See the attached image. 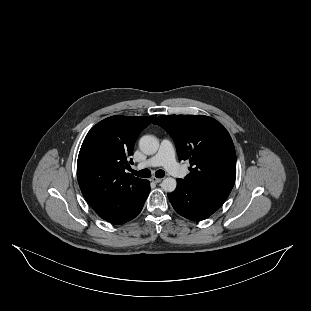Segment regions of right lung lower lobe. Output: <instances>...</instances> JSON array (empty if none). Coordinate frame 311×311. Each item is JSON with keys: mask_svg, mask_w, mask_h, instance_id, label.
Segmentation results:
<instances>
[{"mask_svg": "<svg viewBox=\"0 0 311 311\" xmlns=\"http://www.w3.org/2000/svg\"><path fill=\"white\" fill-rule=\"evenodd\" d=\"M150 192V182L145 180V183L142 189L138 192V194L126 205L125 208L121 209L115 215L104 219L112 224H123L127 221L135 218L143 208L144 202Z\"/></svg>", "mask_w": 311, "mask_h": 311, "instance_id": "98d812e1", "label": "right lung lower lobe"}]
</instances>
